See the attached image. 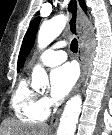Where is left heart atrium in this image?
Masks as SVG:
<instances>
[{"mask_svg": "<svg viewBox=\"0 0 112 135\" xmlns=\"http://www.w3.org/2000/svg\"><path fill=\"white\" fill-rule=\"evenodd\" d=\"M78 78L74 64L66 63L51 72V95L55 100L63 99L73 88Z\"/></svg>", "mask_w": 112, "mask_h": 135, "instance_id": "39dd6f15", "label": "left heart atrium"}]
</instances>
